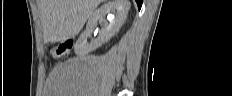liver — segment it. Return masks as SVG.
I'll return each mask as SVG.
<instances>
[{"instance_id": "6515ba94", "label": "liver", "mask_w": 232, "mask_h": 96, "mask_svg": "<svg viewBox=\"0 0 232 96\" xmlns=\"http://www.w3.org/2000/svg\"><path fill=\"white\" fill-rule=\"evenodd\" d=\"M103 0H38L45 43L75 37Z\"/></svg>"}]
</instances>
